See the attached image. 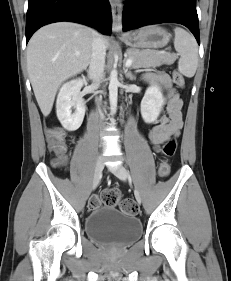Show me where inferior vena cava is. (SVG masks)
<instances>
[{"label": "inferior vena cava", "mask_w": 231, "mask_h": 281, "mask_svg": "<svg viewBox=\"0 0 231 281\" xmlns=\"http://www.w3.org/2000/svg\"><path fill=\"white\" fill-rule=\"evenodd\" d=\"M105 56H106V45L103 40V37L99 33L94 32V37L92 41V54H91V60L88 70V75L93 82L92 87L94 88L98 87L99 81L103 77L104 68H105ZM98 111H99L100 119L102 120L103 114L99 107V102H98Z\"/></svg>", "instance_id": "1"}]
</instances>
